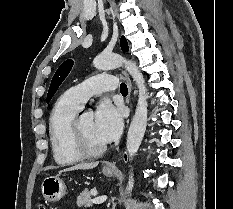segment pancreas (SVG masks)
<instances>
[{
  "mask_svg": "<svg viewBox=\"0 0 233 209\" xmlns=\"http://www.w3.org/2000/svg\"><path fill=\"white\" fill-rule=\"evenodd\" d=\"M77 205L79 207H90L92 206L90 191L85 189L78 197H77Z\"/></svg>",
  "mask_w": 233,
  "mask_h": 209,
  "instance_id": "obj_1",
  "label": "pancreas"
}]
</instances>
